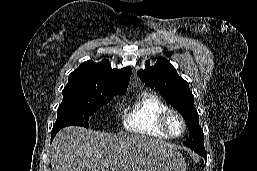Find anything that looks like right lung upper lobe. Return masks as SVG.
<instances>
[{"instance_id": "cb5924a9", "label": "right lung upper lobe", "mask_w": 257, "mask_h": 171, "mask_svg": "<svg viewBox=\"0 0 257 171\" xmlns=\"http://www.w3.org/2000/svg\"><path fill=\"white\" fill-rule=\"evenodd\" d=\"M131 68L112 69L109 60L100 63L83 62L69 75L65 88H94L125 94L131 76Z\"/></svg>"}]
</instances>
